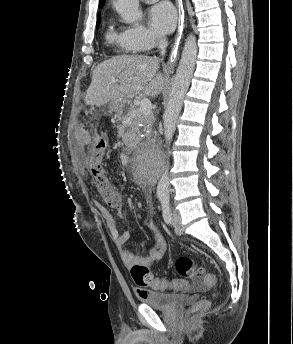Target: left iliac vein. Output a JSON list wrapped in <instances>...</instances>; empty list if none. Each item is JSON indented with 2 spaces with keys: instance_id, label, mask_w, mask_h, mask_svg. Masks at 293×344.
<instances>
[{
  "instance_id": "obj_1",
  "label": "left iliac vein",
  "mask_w": 293,
  "mask_h": 344,
  "mask_svg": "<svg viewBox=\"0 0 293 344\" xmlns=\"http://www.w3.org/2000/svg\"><path fill=\"white\" fill-rule=\"evenodd\" d=\"M172 225L177 235L183 234V228L181 225V216H180L179 211L177 210H173L172 212Z\"/></svg>"
}]
</instances>
